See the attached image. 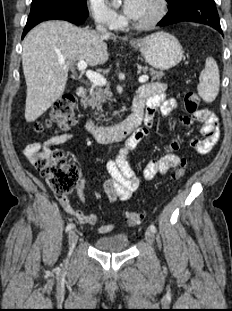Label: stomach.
<instances>
[{"label": "stomach", "mask_w": 232, "mask_h": 311, "mask_svg": "<svg viewBox=\"0 0 232 311\" xmlns=\"http://www.w3.org/2000/svg\"><path fill=\"white\" fill-rule=\"evenodd\" d=\"M131 45L143 55L145 61L159 70L175 67L183 58V48L178 39L167 32H156Z\"/></svg>", "instance_id": "0dacf381"}]
</instances>
